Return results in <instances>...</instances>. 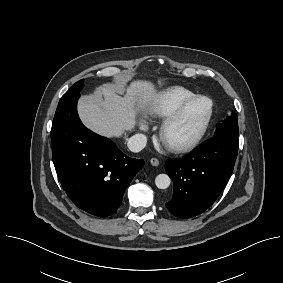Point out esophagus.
<instances>
[{
	"mask_svg": "<svg viewBox=\"0 0 283 283\" xmlns=\"http://www.w3.org/2000/svg\"><path fill=\"white\" fill-rule=\"evenodd\" d=\"M150 163H151L153 166H158V165H159V160L156 159V158H151Z\"/></svg>",
	"mask_w": 283,
	"mask_h": 283,
	"instance_id": "34e87169",
	"label": "esophagus"
}]
</instances>
